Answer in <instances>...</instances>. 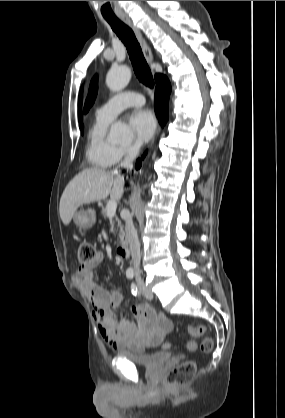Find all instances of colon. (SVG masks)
<instances>
[{
  "instance_id": "obj_1",
  "label": "colon",
  "mask_w": 285,
  "mask_h": 418,
  "mask_svg": "<svg viewBox=\"0 0 285 418\" xmlns=\"http://www.w3.org/2000/svg\"><path fill=\"white\" fill-rule=\"evenodd\" d=\"M98 258L96 248L87 242H82L78 248V259L83 264H91ZM187 332L193 338L202 337L200 347L203 352H208L214 345V340L210 335L206 334L205 326H188ZM165 348L169 345L165 344ZM196 371V363L193 360H186L174 367L167 375L165 384L168 387H180L188 384Z\"/></svg>"
}]
</instances>
